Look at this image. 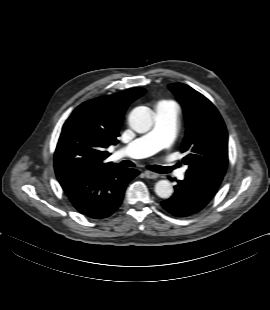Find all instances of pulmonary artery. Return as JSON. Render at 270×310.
<instances>
[{
    "label": "pulmonary artery",
    "instance_id": "pulmonary-artery-1",
    "mask_svg": "<svg viewBox=\"0 0 270 310\" xmlns=\"http://www.w3.org/2000/svg\"><path fill=\"white\" fill-rule=\"evenodd\" d=\"M177 121L178 107L171 102H159L155 107L152 129L129 143L123 152L131 158H144L169 147L176 135ZM180 178L184 175L181 174Z\"/></svg>",
    "mask_w": 270,
    "mask_h": 310
}]
</instances>
